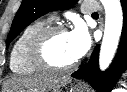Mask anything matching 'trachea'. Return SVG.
Segmentation results:
<instances>
[{
	"label": "trachea",
	"mask_w": 127,
	"mask_h": 92,
	"mask_svg": "<svg viewBox=\"0 0 127 92\" xmlns=\"http://www.w3.org/2000/svg\"><path fill=\"white\" fill-rule=\"evenodd\" d=\"M92 16H98V13H97V12H95V13H93V14H92Z\"/></svg>",
	"instance_id": "trachea-1"
}]
</instances>
